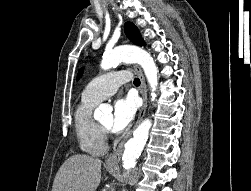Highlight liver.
<instances>
[{
    "instance_id": "obj_1",
    "label": "liver",
    "mask_w": 251,
    "mask_h": 191,
    "mask_svg": "<svg viewBox=\"0 0 251 191\" xmlns=\"http://www.w3.org/2000/svg\"><path fill=\"white\" fill-rule=\"evenodd\" d=\"M101 163L91 155H70L59 167L52 191H95L101 181Z\"/></svg>"
}]
</instances>
